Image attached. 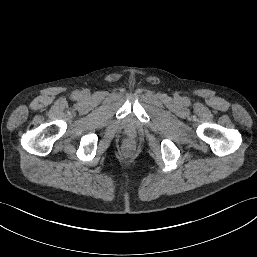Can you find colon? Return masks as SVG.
<instances>
[{
    "instance_id": "colon-1",
    "label": "colon",
    "mask_w": 257,
    "mask_h": 257,
    "mask_svg": "<svg viewBox=\"0 0 257 257\" xmlns=\"http://www.w3.org/2000/svg\"><path fill=\"white\" fill-rule=\"evenodd\" d=\"M133 151V146L132 144H127L125 147H124V152L125 154L127 155H130Z\"/></svg>"
}]
</instances>
